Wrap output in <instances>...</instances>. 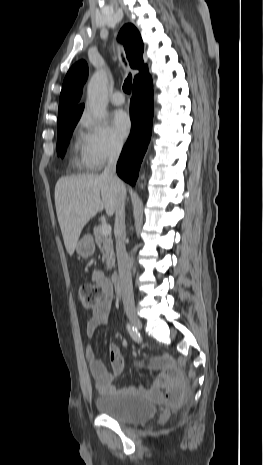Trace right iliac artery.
Returning <instances> with one entry per match:
<instances>
[{"instance_id":"82829eb1","label":"right iliac artery","mask_w":263,"mask_h":465,"mask_svg":"<svg viewBox=\"0 0 263 465\" xmlns=\"http://www.w3.org/2000/svg\"><path fill=\"white\" fill-rule=\"evenodd\" d=\"M127 330H128V333L130 334V336L132 337V339L137 342V343H140L141 342V336L139 334V332L137 331L136 328H134L131 324L127 323Z\"/></svg>"}]
</instances>
